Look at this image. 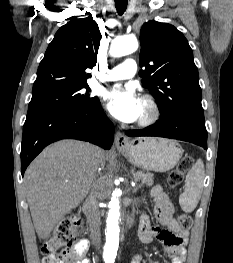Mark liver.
I'll return each instance as SVG.
<instances>
[{"mask_svg": "<svg viewBox=\"0 0 233 263\" xmlns=\"http://www.w3.org/2000/svg\"><path fill=\"white\" fill-rule=\"evenodd\" d=\"M107 154L92 144L61 140L48 146L27 168L24 187L33 224L45 239L89 193Z\"/></svg>", "mask_w": 233, "mask_h": 263, "instance_id": "1", "label": "liver"}]
</instances>
